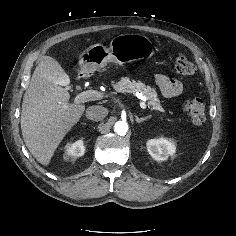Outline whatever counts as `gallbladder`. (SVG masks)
<instances>
[{"label":"gallbladder","instance_id":"1","mask_svg":"<svg viewBox=\"0 0 236 236\" xmlns=\"http://www.w3.org/2000/svg\"><path fill=\"white\" fill-rule=\"evenodd\" d=\"M41 60L46 64L45 73L51 81L58 84L65 83L66 73L54 58L45 56Z\"/></svg>","mask_w":236,"mask_h":236}]
</instances>
